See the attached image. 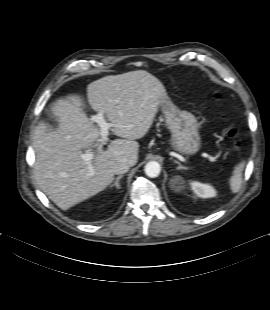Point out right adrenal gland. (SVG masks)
<instances>
[{"mask_svg": "<svg viewBox=\"0 0 270 310\" xmlns=\"http://www.w3.org/2000/svg\"><path fill=\"white\" fill-rule=\"evenodd\" d=\"M123 177V175H119L115 178V181L113 184H111L109 187L112 188V187H116V189H120V185H119V180Z\"/></svg>", "mask_w": 270, "mask_h": 310, "instance_id": "obj_1", "label": "right adrenal gland"}]
</instances>
